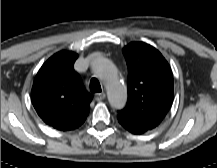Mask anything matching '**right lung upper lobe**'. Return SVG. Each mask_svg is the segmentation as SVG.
Segmentation results:
<instances>
[{"mask_svg": "<svg viewBox=\"0 0 217 168\" xmlns=\"http://www.w3.org/2000/svg\"><path fill=\"white\" fill-rule=\"evenodd\" d=\"M78 54L60 51L50 57L37 73L31 100L41 119L49 126L69 131L86 120L92 100L73 69Z\"/></svg>", "mask_w": 217, "mask_h": 168, "instance_id": "right-lung-upper-lobe-1", "label": "right lung upper lobe"}]
</instances>
